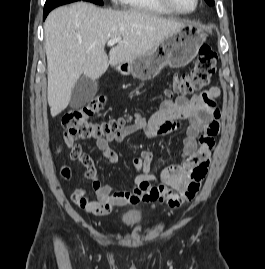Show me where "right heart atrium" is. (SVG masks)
<instances>
[{"label": "right heart atrium", "mask_w": 265, "mask_h": 269, "mask_svg": "<svg viewBox=\"0 0 265 269\" xmlns=\"http://www.w3.org/2000/svg\"><path fill=\"white\" fill-rule=\"evenodd\" d=\"M112 2H118V1H120V0H111Z\"/></svg>", "instance_id": "d8ad5b80"}]
</instances>
